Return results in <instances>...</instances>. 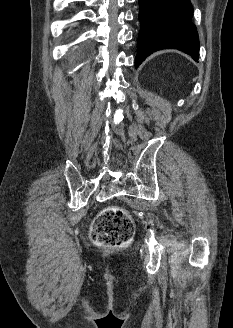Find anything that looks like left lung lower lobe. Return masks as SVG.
<instances>
[{
    "mask_svg": "<svg viewBox=\"0 0 233 328\" xmlns=\"http://www.w3.org/2000/svg\"><path fill=\"white\" fill-rule=\"evenodd\" d=\"M141 23L138 37L137 68L144 59L161 49L173 48L199 57V38L191 22L193 7L190 0H138Z\"/></svg>",
    "mask_w": 233,
    "mask_h": 328,
    "instance_id": "obj_1",
    "label": "left lung lower lobe"
}]
</instances>
